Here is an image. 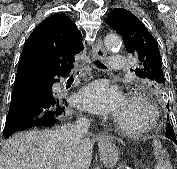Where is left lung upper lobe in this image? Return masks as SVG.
I'll use <instances>...</instances> for the list:
<instances>
[{"label":"left lung upper lobe","instance_id":"obj_1","mask_svg":"<svg viewBox=\"0 0 177 169\" xmlns=\"http://www.w3.org/2000/svg\"><path fill=\"white\" fill-rule=\"evenodd\" d=\"M106 23L122 36L126 50L139 60L140 66L134 69L135 74L156 94L163 96L165 78L158 44L154 37L136 16L125 9L112 10L107 16ZM172 125L167 124V135H175Z\"/></svg>","mask_w":177,"mask_h":169}]
</instances>
